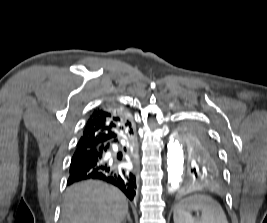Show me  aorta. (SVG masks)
<instances>
[{
  "label": "aorta",
  "instance_id": "762f6f07",
  "mask_svg": "<svg viewBox=\"0 0 267 223\" xmlns=\"http://www.w3.org/2000/svg\"><path fill=\"white\" fill-rule=\"evenodd\" d=\"M167 149L168 183L174 192L182 181L185 166L183 146L177 134L170 136Z\"/></svg>",
  "mask_w": 267,
  "mask_h": 223
}]
</instances>
